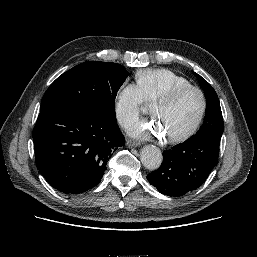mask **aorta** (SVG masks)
Masks as SVG:
<instances>
[{"mask_svg":"<svg viewBox=\"0 0 257 257\" xmlns=\"http://www.w3.org/2000/svg\"><path fill=\"white\" fill-rule=\"evenodd\" d=\"M140 159L145 168L155 170L162 163V153L156 147L145 146L141 151Z\"/></svg>","mask_w":257,"mask_h":257,"instance_id":"aorta-1","label":"aorta"}]
</instances>
